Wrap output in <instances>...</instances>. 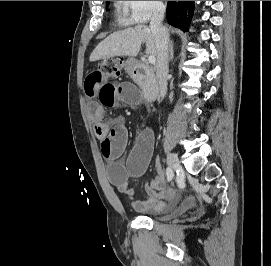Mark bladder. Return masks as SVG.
Returning a JSON list of instances; mask_svg holds the SVG:
<instances>
[{
  "label": "bladder",
  "instance_id": "1",
  "mask_svg": "<svg viewBox=\"0 0 271 266\" xmlns=\"http://www.w3.org/2000/svg\"><path fill=\"white\" fill-rule=\"evenodd\" d=\"M197 207H198V201L194 197H190V198L185 199L180 205L168 210L167 214L163 217H158L155 215H142V216L150 217L152 219L159 218L162 220H166L172 215H183L184 213L194 211L197 209Z\"/></svg>",
  "mask_w": 271,
  "mask_h": 266
}]
</instances>
